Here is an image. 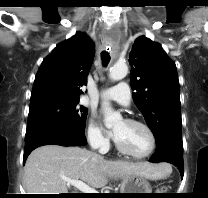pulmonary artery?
Here are the masks:
<instances>
[{"mask_svg": "<svg viewBox=\"0 0 208 198\" xmlns=\"http://www.w3.org/2000/svg\"><path fill=\"white\" fill-rule=\"evenodd\" d=\"M100 97L105 100L117 102L124 106H128L131 101L130 89L125 82H121L114 87L102 91Z\"/></svg>", "mask_w": 208, "mask_h": 198, "instance_id": "pulmonary-artery-1", "label": "pulmonary artery"}]
</instances>
